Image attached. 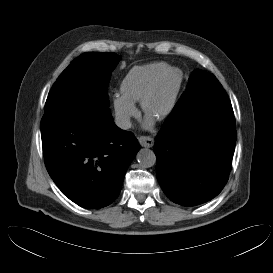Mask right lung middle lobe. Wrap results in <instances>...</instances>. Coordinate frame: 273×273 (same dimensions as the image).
I'll return each mask as SVG.
<instances>
[{"instance_id": "dd1d6c3e", "label": "right lung middle lobe", "mask_w": 273, "mask_h": 273, "mask_svg": "<svg viewBox=\"0 0 273 273\" xmlns=\"http://www.w3.org/2000/svg\"><path fill=\"white\" fill-rule=\"evenodd\" d=\"M121 57L115 53H83L60 74L51 88L44 112L55 105L82 99L109 106L108 84Z\"/></svg>"}]
</instances>
